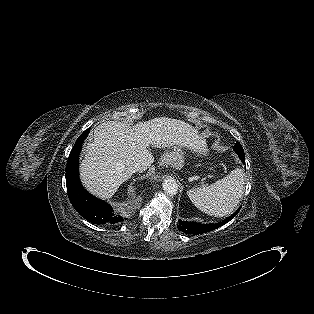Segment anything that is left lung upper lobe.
<instances>
[{
    "label": "left lung upper lobe",
    "instance_id": "obj_1",
    "mask_svg": "<svg viewBox=\"0 0 314 314\" xmlns=\"http://www.w3.org/2000/svg\"><path fill=\"white\" fill-rule=\"evenodd\" d=\"M234 150L238 155L244 154L243 148L240 143H236L234 146Z\"/></svg>",
    "mask_w": 314,
    "mask_h": 314
}]
</instances>
